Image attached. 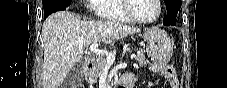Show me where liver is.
Segmentation results:
<instances>
[{"mask_svg": "<svg viewBox=\"0 0 227 88\" xmlns=\"http://www.w3.org/2000/svg\"><path fill=\"white\" fill-rule=\"evenodd\" d=\"M139 32L140 29L113 21H83L69 11L50 15L42 25L43 88H59L91 44L113 45L118 39Z\"/></svg>", "mask_w": 227, "mask_h": 88, "instance_id": "obj_1", "label": "liver"}]
</instances>
